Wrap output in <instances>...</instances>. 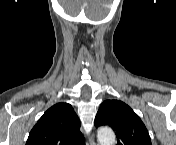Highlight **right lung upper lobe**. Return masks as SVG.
<instances>
[{
	"instance_id": "obj_1",
	"label": "right lung upper lobe",
	"mask_w": 176,
	"mask_h": 145,
	"mask_svg": "<svg viewBox=\"0 0 176 145\" xmlns=\"http://www.w3.org/2000/svg\"><path fill=\"white\" fill-rule=\"evenodd\" d=\"M82 142L80 121L72 106L57 103L33 127L26 145H79Z\"/></svg>"
}]
</instances>
